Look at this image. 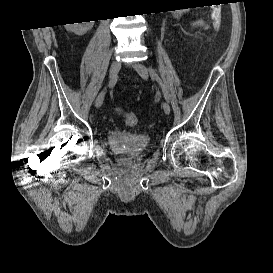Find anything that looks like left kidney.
<instances>
[{
  "label": "left kidney",
  "instance_id": "obj_1",
  "mask_svg": "<svg viewBox=\"0 0 273 273\" xmlns=\"http://www.w3.org/2000/svg\"><path fill=\"white\" fill-rule=\"evenodd\" d=\"M187 11H188V9L173 10L172 14L176 19H179Z\"/></svg>",
  "mask_w": 273,
  "mask_h": 273
}]
</instances>
